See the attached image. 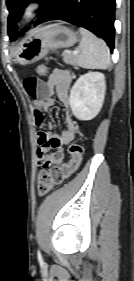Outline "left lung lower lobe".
I'll return each instance as SVG.
<instances>
[{"label":"left lung lower lobe","instance_id":"left-lung-lower-lobe-1","mask_svg":"<svg viewBox=\"0 0 134 281\" xmlns=\"http://www.w3.org/2000/svg\"><path fill=\"white\" fill-rule=\"evenodd\" d=\"M34 25L64 20L102 37L114 49L115 0H49Z\"/></svg>","mask_w":134,"mask_h":281}]
</instances>
